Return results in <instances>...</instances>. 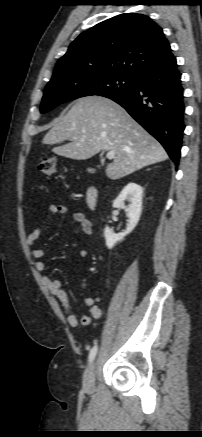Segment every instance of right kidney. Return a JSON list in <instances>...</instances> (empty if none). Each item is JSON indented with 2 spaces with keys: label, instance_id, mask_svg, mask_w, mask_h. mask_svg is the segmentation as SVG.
Wrapping results in <instances>:
<instances>
[{
  "label": "right kidney",
  "instance_id": "ca27d5eb",
  "mask_svg": "<svg viewBox=\"0 0 202 437\" xmlns=\"http://www.w3.org/2000/svg\"><path fill=\"white\" fill-rule=\"evenodd\" d=\"M143 189L140 185L130 182L128 183L118 197L113 202L114 208H125L128 213V223L126 230L119 234H114L109 227H105L104 236L108 249L123 240L137 226L142 211ZM125 201H129L128 207H125Z\"/></svg>",
  "mask_w": 202,
  "mask_h": 437
}]
</instances>
